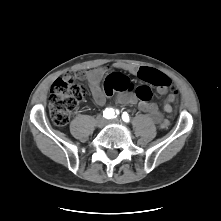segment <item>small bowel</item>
Masks as SVG:
<instances>
[{
  "label": "small bowel",
  "mask_w": 221,
  "mask_h": 221,
  "mask_svg": "<svg viewBox=\"0 0 221 221\" xmlns=\"http://www.w3.org/2000/svg\"><path fill=\"white\" fill-rule=\"evenodd\" d=\"M115 67L127 71L131 74L138 73V68L132 64L126 63H116ZM107 74V69L105 67H97L91 70L86 71L83 74V78L89 85L92 98L94 102L98 105H103L107 101L109 94L106 93L105 88L102 89L101 81L104 76ZM107 83L118 91L117 93V101L124 105H135L138 104V107L143 112L147 113L151 120L159 124L161 127H165L164 125H168V119H165L163 115L160 113L159 108L155 102L152 101H144L139 99L135 93L130 91V88L118 89L123 86H129L130 80L127 76L122 73L115 72L108 76ZM157 92L160 95H166L163 103V111L170 115L172 113V104L176 99L175 94H167V87H157Z\"/></svg>",
  "instance_id": "1"
}]
</instances>
